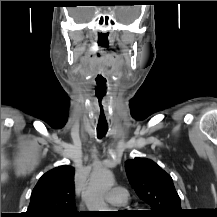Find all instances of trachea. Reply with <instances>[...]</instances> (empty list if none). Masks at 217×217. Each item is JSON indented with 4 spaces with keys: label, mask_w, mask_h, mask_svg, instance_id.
<instances>
[{
    "label": "trachea",
    "mask_w": 217,
    "mask_h": 217,
    "mask_svg": "<svg viewBox=\"0 0 217 217\" xmlns=\"http://www.w3.org/2000/svg\"><path fill=\"white\" fill-rule=\"evenodd\" d=\"M108 131V127H97V135H98V138L101 139L105 134L106 132Z\"/></svg>",
    "instance_id": "1"
}]
</instances>
